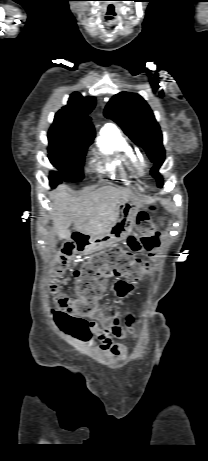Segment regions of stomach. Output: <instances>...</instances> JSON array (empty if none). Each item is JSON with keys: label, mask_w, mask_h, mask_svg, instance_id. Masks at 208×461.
Returning <instances> with one entry per match:
<instances>
[{"label": "stomach", "mask_w": 208, "mask_h": 461, "mask_svg": "<svg viewBox=\"0 0 208 461\" xmlns=\"http://www.w3.org/2000/svg\"><path fill=\"white\" fill-rule=\"evenodd\" d=\"M139 210V205L131 198L122 199L120 201L116 218L111 223L109 229L98 236L90 237L83 252H96L104 249L110 244L126 239L130 229L135 224Z\"/></svg>", "instance_id": "stomach-1"}]
</instances>
